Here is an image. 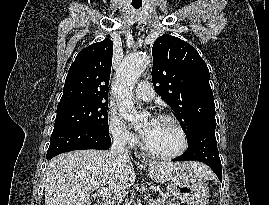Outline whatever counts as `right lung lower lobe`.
Segmentation results:
<instances>
[{
	"instance_id": "obj_1",
	"label": "right lung lower lobe",
	"mask_w": 269,
	"mask_h": 205,
	"mask_svg": "<svg viewBox=\"0 0 269 205\" xmlns=\"http://www.w3.org/2000/svg\"><path fill=\"white\" fill-rule=\"evenodd\" d=\"M110 143L109 134L98 130L78 126L55 128L51 135L47 160L60 153L73 150L108 149Z\"/></svg>"
}]
</instances>
